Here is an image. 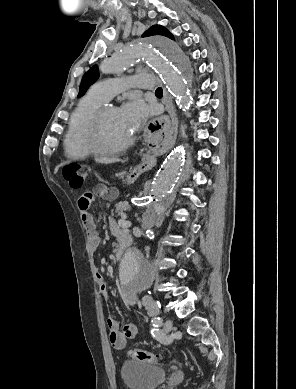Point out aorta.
Returning a JSON list of instances; mask_svg holds the SVG:
<instances>
[{"label":"aorta","instance_id":"aorta-1","mask_svg":"<svg viewBox=\"0 0 296 389\" xmlns=\"http://www.w3.org/2000/svg\"><path fill=\"white\" fill-rule=\"evenodd\" d=\"M135 62L153 66L160 74L169 92L176 97L177 105L187 110L192 104L189 92L192 76L190 64L182 50L166 38H149L128 44L115 51L101 65L105 74H122ZM185 163V151L178 147L171 152L153 180L147 197L145 227L152 228L171 204L175 188L181 184L179 177ZM155 270L137 248L126 251L120 263V280L124 288L139 292L151 287Z\"/></svg>","mask_w":296,"mask_h":389}]
</instances>
